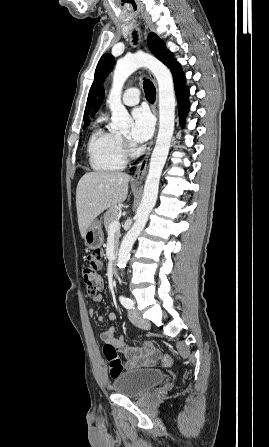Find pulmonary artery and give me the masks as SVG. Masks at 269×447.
I'll return each instance as SVG.
<instances>
[{"instance_id":"obj_1","label":"pulmonary artery","mask_w":269,"mask_h":447,"mask_svg":"<svg viewBox=\"0 0 269 447\" xmlns=\"http://www.w3.org/2000/svg\"><path fill=\"white\" fill-rule=\"evenodd\" d=\"M141 92L136 87L126 89L122 95V103L128 106L136 105L140 102Z\"/></svg>"}]
</instances>
